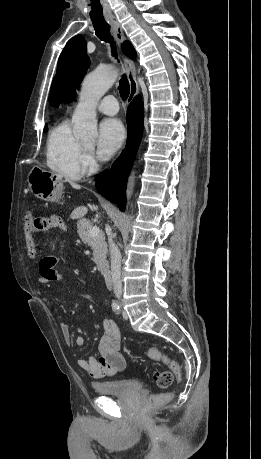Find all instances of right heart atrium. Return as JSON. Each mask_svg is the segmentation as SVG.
Returning a JSON list of instances; mask_svg holds the SVG:
<instances>
[{
  "label": "right heart atrium",
  "instance_id": "d8ad5b80",
  "mask_svg": "<svg viewBox=\"0 0 261 459\" xmlns=\"http://www.w3.org/2000/svg\"><path fill=\"white\" fill-rule=\"evenodd\" d=\"M81 164H82V169L85 172L93 169L95 165V160H94L93 154L90 151L86 150L83 152Z\"/></svg>",
  "mask_w": 261,
  "mask_h": 459
}]
</instances>
